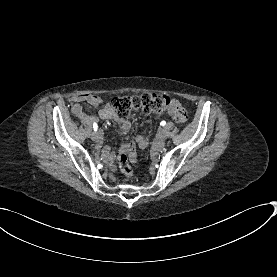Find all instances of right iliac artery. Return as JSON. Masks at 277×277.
Listing matches in <instances>:
<instances>
[{"instance_id":"obj_1","label":"right iliac artery","mask_w":277,"mask_h":277,"mask_svg":"<svg viewBox=\"0 0 277 277\" xmlns=\"http://www.w3.org/2000/svg\"><path fill=\"white\" fill-rule=\"evenodd\" d=\"M97 128H98L97 123L94 122V123H93V129H94V131H97Z\"/></svg>"}]
</instances>
